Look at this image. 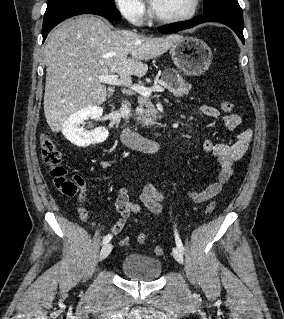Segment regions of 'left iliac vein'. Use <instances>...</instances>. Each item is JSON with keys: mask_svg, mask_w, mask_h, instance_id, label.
<instances>
[{"mask_svg": "<svg viewBox=\"0 0 284 319\" xmlns=\"http://www.w3.org/2000/svg\"><path fill=\"white\" fill-rule=\"evenodd\" d=\"M172 254H173V257L175 258V260L177 262H179L180 264L183 263V253L182 251L178 248V247H174L173 250H172Z\"/></svg>", "mask_w": 284, "mask_h": 319, "instance_id": "left-iliac-vein-1", "label": "left iliac vein"}]
</instances>
